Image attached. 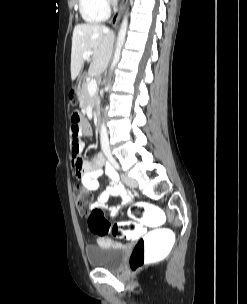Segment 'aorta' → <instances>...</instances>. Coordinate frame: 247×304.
<instances>
[{"mask_svg":"<svg viewBox=\"0 0 247 304\" xmlns=\"http://www.w3.org/2000/svg\"><path fill=\"white\" fill-rule=\"evenodd\" d=\"M127 27H128V14L126 13L123 17V20H122V23L120 26V30L118 32L117 41H116V49H115V53H114V57H113L112 65H111L110 75L112 74L113 69L115 68V66L117 65V63L120 60L121 50H122V47H123V45L125 43V39H126ZM109 87H110V81L108 82L106 89L108 90ZM100 143H101V147H102L103 151L110 150L108 132H107V128H106L104 121L101 124V129H100Z\"/></svg>","mask_w":247,"mask_h":304,"instance_id":"obj_1","label":"aorta"}]
</instances>
